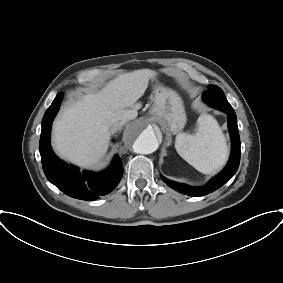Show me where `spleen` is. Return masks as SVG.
<instances>
[{
  "instance_id": "1",
  "label": "spleen",
  "mask_w": 283,
  "mask_h": 283,
  "mask_svg": "<svg viewBox=\"0 0 283 283\" xmlns=\"http://www.w3.org/2000/svg\"><path fill=\"white\" fill-rule=\"evenodd\" d=\"M175 148L186 162L204 174L219 170L228 157L222 130L216 119L209 114H202L198 118L195 134H178Z\"/></svg>"
}]
</instances>
